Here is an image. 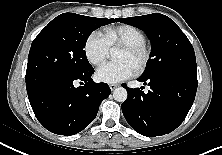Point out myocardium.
<instances>
[{"label":"myocardium","instance_id":"obj_1","mask_svg":"<svg viewBox=\"0 0 222 155\" xmlns=\"http://www.w3.org/2000/svg\"><path fill=\"white\" fill-rule=\"evenodd\" d=\"M121 49H124L125 51L140 58L139 63L135 68L137 73H142L146 70L151 59V51L145 43L124 45Z\"/></svg>","mask_w":222,"mask_h":155}]
</instances>
